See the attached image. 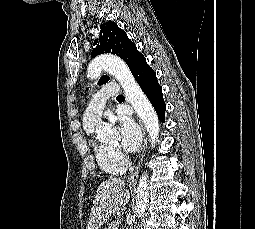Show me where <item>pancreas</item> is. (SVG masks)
Instances as JSON below:
<instances>
[{
  "mask_svg": "<svg viewBox=\"0 0 255 229\" xmlns=\"http://www.w3.org/2000/svg\"><path fill=\"white\" fill-rule=\"evenodd\" d=\"M117 224H118V222L113 221V222H111V223L108 224L107 229H114L115 226H117Z\"/></svg>",
  "mask_w": 255,
  "mask_h": 229,
  "instance_id": "cf45deb5",
  "label": "pancreas"
}]
</instances>
